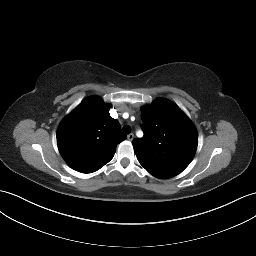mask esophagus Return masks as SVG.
<instances>
[{"label":"esophagus","mask_w":256,"mask_h":256,"mask_svg":"<svg viewBox=\"0 0 256 256\" xmlns=\"http://www.w3.org/2000/svg\"><path fill=\"white\" fill-rule=\"evenodd\" d=\"M127 139H128L129 141H132V140L134 139V134H133V133L128 134V135H127Z\"/></svg>","instance_id":"esophagus-1"}]
</instances>
